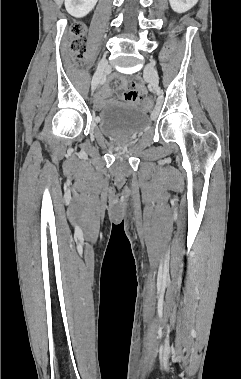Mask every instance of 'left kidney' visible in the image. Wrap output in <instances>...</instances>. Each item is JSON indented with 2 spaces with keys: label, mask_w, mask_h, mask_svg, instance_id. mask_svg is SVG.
I'll return each instance as SVG.
<instances>
[{
  "label": "left kidney",
  "mask_w": 241,
  "mask_h": 379,
  "mask_svg": "<svg viewBox=\"0 0 241 379\" xmlns=\"http://www.w3.org/2000/svg\"><path fill=\"white\" fill-rule=\"evenodd\" d=\"M171 8L177 13H184L190 10L198 0H169Z\"/></svg>",
  "instance_id": "5707ae66"
}]
</instances>
